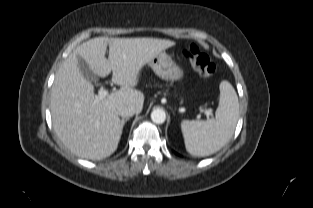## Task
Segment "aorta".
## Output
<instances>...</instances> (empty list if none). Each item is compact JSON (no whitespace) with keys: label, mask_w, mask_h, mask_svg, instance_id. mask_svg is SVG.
<instances>
[{"label":"aorta","mask_w":313,"mask_h":208,"mask_svg":"<svg viewBox=\"0 0 313 208\" xmlns=\"http://www.w3.org/2000/svg\"><path fill=\"white\" fill-rule=\"evenodd\" d=\"M151 119L156 124H162L166 120V113L163 109H154L151 113Z\"/></svg>","instance_id":"obj_1"}]
</instances>
